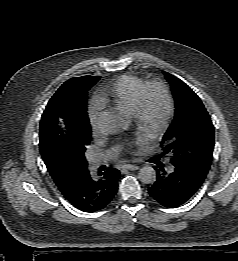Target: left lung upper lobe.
<instances>
[{"label":"left lung upper lobe","mask_w":238,"mask_h":261,"mask_svg":"<svg viewBox=\"0 0 238 261\" xmlns=\"http://www.w3.org/2000/svg\"><path fill=\"white\" fill-rule=\"evenodd\" d=\"M175 99V116L165 133L163 154L171 163L207 174L214 148V126L200 98L183 81L165 72Z\"/></svg>","instance_id":"left-lung-upper-lobe-1"}]
</instances>
